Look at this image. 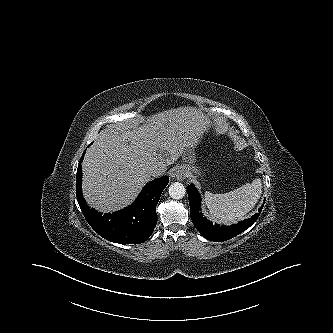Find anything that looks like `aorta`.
Returning <instances> with one entry per match:
<instances>
[{
  "label": "aorta",
  "mask_w": 333,
  "mask_h": 333,
  "mask_svg": "<svg viewBox=\"0 0 333 333\" xmlns=\"http://www.w3.org/2000/svg\"><path fill=\"white\" fill-rule=\"evenodd\" d=\"M186 193V189L182 183L175 182L169 186V195L173 199H182Z\"/></svg>",
  "instance_id": "762f6f07"
}]
</instances>
